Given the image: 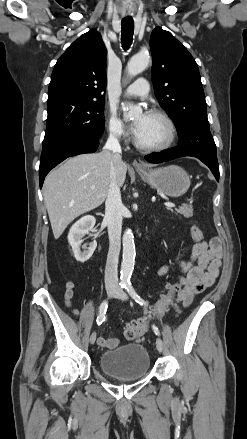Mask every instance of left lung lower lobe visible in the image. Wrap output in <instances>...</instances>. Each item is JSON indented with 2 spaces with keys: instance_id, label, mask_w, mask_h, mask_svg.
Listing matches in <instances>:
<instances>
[{
  "instance_id": "obj_1",
  "label": "left lung lower lobe",
  "mask_w": 247,
  "mask_h": 439,
  "mask_svg": "<svg viewBox=\"0 0 247 439\" xmlns=\"http://www.w3.org/2000/svg\"><path fill=\"white\" fill-rule=\"evenodd\" d=\"M190 156L181 151L178 147L173 149L164 150L162 152L151 153L145 156L146 161L150 163H162L167 162L179 157ZM217 181H219V170L211 169Z\"/></svg>"
}]
</instances>
